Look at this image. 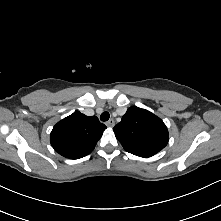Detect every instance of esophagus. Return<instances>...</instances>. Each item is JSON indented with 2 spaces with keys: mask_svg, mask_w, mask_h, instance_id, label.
I'll use <instances>...</instances> for the list:
<instances>
[{
  "mask_svg": "<svg viewBox=\"0 0 221 221\" xmlns=\"http://www.w3.org/2000/svg\"><path fill=\"white\" fill-rule=\"evenodd\" d=\"M114 124H115L114 119H109V120L106 122V126H107V127H110V128H112V127L114 126Z\"/></svg>",
  "mask_w": 221,
  "mask_h": 221,
  "instance_id": "esophagus-1",
  "label": "esophagus"
}]
</instances>
